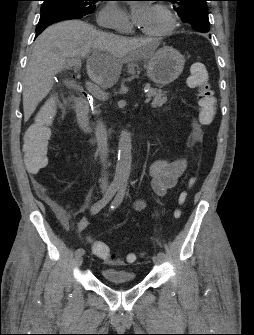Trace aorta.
Masks as SVG:
<instances>
[{
  "mask_svg": "<svg viewBox=\"0 0 254 335\" xmlns=\"http://www.w3.org/2000/svg\"><path fill=\"white\" fill-rule=\"evenodd\" d=\"M132 139L130 132L122 130L118 143V161L114 176V184L126 187L130 175L132 156Z\"/></svg>",
  "mask_w": 254,
  "mask_h": 335,
  "instance_id": "762f6f07",
  "label": "aorta"
}]
</instances>
